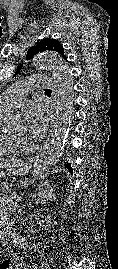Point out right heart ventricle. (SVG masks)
<instances>
[{"mask_svg": "<svg viewBox=\"0 0 118 269\" xmlns=\"http://www.w3.org/2000/svg\"><path fill=\"white\" fill-rule=\"evenodd\" d=\"M10 111L0 108V125L3 117ZM22 150L21 145L16 137L0 129V155L16 154Z\"/></svg>", "mask_w": 118, "mask_h": 269, "instance_id": "e07e8e85", "label": "right heart ventricle"}]
</instances>
